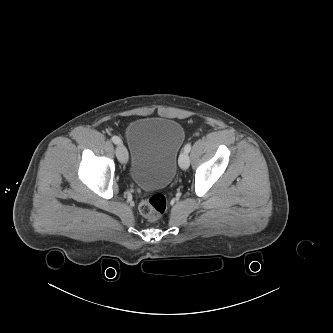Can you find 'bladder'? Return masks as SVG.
Instances as JSON below:
<instances>
[{
	"instance_id": "bladder-1",
	"label": "bladder",
	"mask_w": 333,
	"mask_h": 333,
	"mask_svg": "<svg viewBox=\"0 0 333 333\" xmlns=\"http://www.w3.org/2000/svg\"><path fill=\"white\" fill-rule=\"evenodd\" d=\"M126 138L132 181L147 190L168 186L175 176L178 153L185 140L183 126L167 118H140L129 126Z\"/></svg>"
}]
</instances>
